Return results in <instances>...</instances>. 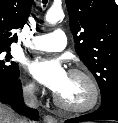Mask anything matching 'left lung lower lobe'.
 <instances>
[{
	"instance_id": "obj_1",
	"label": "left lung lower lobe",
	"mask_w": 118,
	"mask_h": 123,
	"mask_svg": "<svg viewBox=\"0 0 118 123\" xmlns=\"http://www.w3.org/2000/svg\"><path fill=\"white\" fill-rule=\"evenodd\" d=\"M91 120H117L118 121V93H115L107 102L95 112L80 117L68 119L65 123H78Z\"/></svg>"
}]
</instances>
